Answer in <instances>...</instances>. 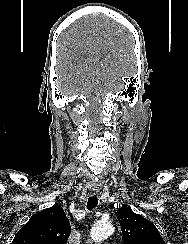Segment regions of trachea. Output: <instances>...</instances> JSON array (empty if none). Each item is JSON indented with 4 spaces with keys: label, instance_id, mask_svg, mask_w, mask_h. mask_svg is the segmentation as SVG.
Segmentation results:
<instances>
[{
    "label": "trachea",
    "instance_id": "obj_1",
    "mask_svg": "<svg viewBox=\"0 0 188 244\" xmlns=\"http://www.w3.org/2000/svg\"><path fill=\"white\" fill-rule=\"evenodd\" d=\"M97 204H98L97 196H91L88 198L87 209L92 210L97 206Z\"/></svg>",
    "mask_w": 188,
    "mask_h": 244
}]
</instances>
